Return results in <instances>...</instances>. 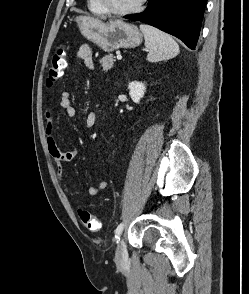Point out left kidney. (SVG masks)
Masks as SVG:
<instances>
[{"mask_svg":"<svg viewBox=\"0 0 249 294\" xmlns=\"http://www.w3.org/2000/svg\"><path fill=\"white\" fill-rule=\"evenodd\" d=\"M128 89H129V95H130L131 99L135 103H139L141 98H143V96L145 94L146 86L142 82L133 81V82L129 83Z\"/></svg>","mask_w":249,"mask_h":294,"instance_id":"left-kidney-1","label":"left kidney"}]
</instances>
